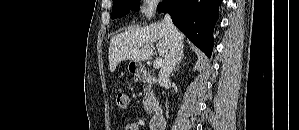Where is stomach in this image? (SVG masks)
Wrapping results in <instances>:
<instances>
[{
  "instance_id": "obj_1",
  "label": "stomach",
  "mask_w": 299,
  "mask_h": 130,
  "mask_svg": "<svg viewBox=\"0 0 299 130\" xmlns=\"http://www.w3.org/2000/svg\"><path fill=\"white\" fill-rule=\"evenodd\" d=\"M128 71L134 75L139 74L142 71L141 62L131 60L128 64Z\"/></svg>"
}]
</instances>
